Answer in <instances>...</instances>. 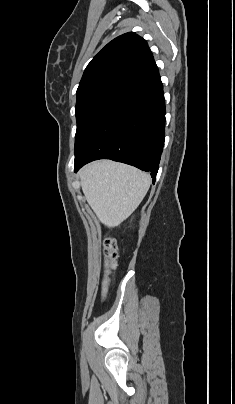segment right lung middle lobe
<instances>
[{
  "label": "right lung middle lobe",
  "mask_w": 235,
  "mask_h": 404,
  "mask_svg": "<svg viewBox=\"0 0 235 404\" xmlns=\"http://www.w3.org/2000/svg\"><path fill=\"white\" fill-rule=\"evenodd\" d=\"M128 83L106 82L86 87L77 92L75 151L103 115L121 97Z\"/></svg>",
  "instance_id": "1"
}]
</instances>
